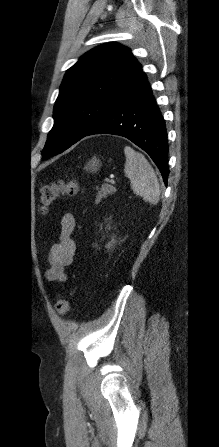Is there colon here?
<instances>
[{"instance_id":"obj_1","label":"colon","mask_w":219,"mask_h":447,"mask_svg":"<svg viewBox=\"0 0 219 447\" xmlns=\"http://www.w3.org/2000/svg\"><path fill=\"white\" fill-rule=\"evenodd\" d=\"M82 193V188L75 179L58 181L41 188L40 210L45 213L59 196H74ZM71 300L62 298L56 302L55 308L60 315H66L71 309Z\"/></svg>"}]
</instances>
